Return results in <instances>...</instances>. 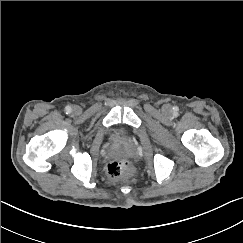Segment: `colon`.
Returning <instances> with one entry per match:
<instances>
[{"label":"colon","instance_id":"obj_1","mask_svg":"<svg viewBox=\"0 0 243 243\" xmlns=\"http://www.w3.org/2000/svg\"><path fill=\"white\" fill-rule=\"evenodd\" d=\"M132 172V165L125 159H114L107 165V173L112 179L127 178Z\"/></svg>","mask_w":243,"mask_h":243}]
</instances>
